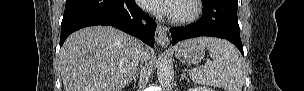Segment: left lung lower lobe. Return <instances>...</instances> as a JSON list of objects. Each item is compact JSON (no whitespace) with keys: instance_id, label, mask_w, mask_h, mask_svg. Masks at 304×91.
<instances>
[{"instance_id":"left-lung-lower-lobe-1","label":"left lung lower lobe","mask_w":304,"mask_h":91,"mask_svg":"<svg viewBox=\"0 0 304 91\" xmlns=\"http://www.w3.org/2000/svg\"><path fill=\"white\" fill-rule=\"evenodd\" d=\"M201 18L185 27L171 28L172 45L193 37L213 36L229 40L244 55L237 18V0H204Z\"/></svg>"}]
</instances>
